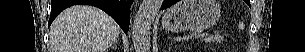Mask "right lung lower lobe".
Returning a JSON list of instances; mask_svg holds the SVG:
<instances>
[{"instance_id":"1","label":"right lung lower lobe","mask_w":305,"mask_h":52,"mask_svg":"<svg viewBox=\"0 0 305 52\" xmlns=\"http://www.w3.org/2000/svg\"><path fill=\"white\" fill-rule=\"evenodd\" d=\"M133 0H52L49 26L64 9L76 5H92L109 14L127 34L130 21V7Z\"/></svg>"}]
</instances>
